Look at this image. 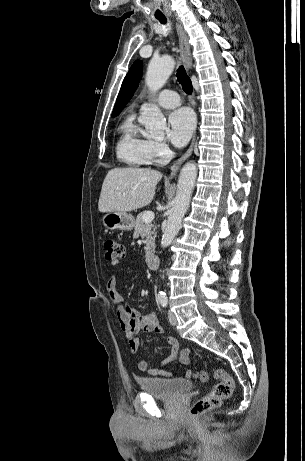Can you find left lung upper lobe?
<instances>
[{
    "instance_id": "1",
    "label": "left lung upper lobe",
    "mask_w": 305,
    "mask_h": 461,
    "mask_svg": "<svg viewBox=\"0 0 305 461\" xmlns=\"http://www.w3.org/2000/svg\"><path fill=\"white\" fill-rule=\"evenodd\" d=\"M143 72V63L137 60L133 63L129 72L127 73L122 83L119 95L114 106L112 116H117L121 110L125 107L127 102L133 96L135 90L138 87V79H140Z\"/></svg>"
}]
</instances>
